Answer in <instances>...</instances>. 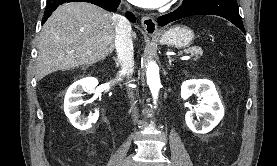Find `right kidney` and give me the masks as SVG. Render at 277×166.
I'll return each mask as SVG.
<instances>
[{
  "label": "right kidney",
  "instance_id": "obj_1",
  "mask_svg": "<svg viewBox=\"0 0 277 166\" xmlns=\"http://www.w3.org/2000/svg\"><path fill=\"white\" fill-rule=\"evenodd\" d=\"M98 85V80L93 77H87L73 83L66 92L64 99V111L69 118L71 124L80 130L91 128L92 123H95L99 117V112L96 110L92 116L84 118L80 116L78 106L83 104L80 99L83 92L94 91Z\"/></svg>",
  "mask_w": 277,
  "mask_h": 166
}]
</instances>
